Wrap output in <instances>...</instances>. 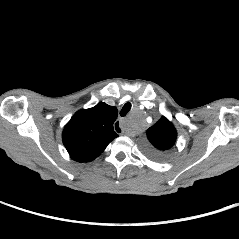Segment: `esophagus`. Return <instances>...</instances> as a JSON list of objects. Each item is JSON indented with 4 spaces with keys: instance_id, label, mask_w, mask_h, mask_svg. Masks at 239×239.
<instances>
[{
    "instance_id": "1",
    "label": "esophagus",
    "mask_w": 239,
    "mask_h": 239,
    "mask_svg": "<svg viewBox=\"0 0 239 239\" xmlns=\"http://www.w3.org/2000/svg\"><path fill=\"white\" fill-rule=\"evenodd\" d=\"M120 122H118V121H116V122H114V124H113V129H114V131L115 132H117L118 134H123V129L122 128H120Z\"/></svg>"
}]
</instances>
